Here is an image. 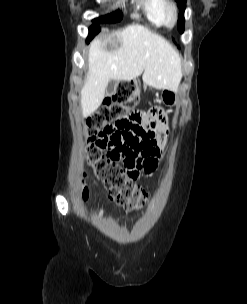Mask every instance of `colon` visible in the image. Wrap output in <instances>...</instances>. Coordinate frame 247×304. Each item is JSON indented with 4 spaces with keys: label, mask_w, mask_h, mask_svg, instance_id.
<instances>
[{
    "label": "colon",
    "mask_w": 247,
    "mask_h": 304,
    "mask_svg": "<svg viewBox=\"0 0 247 304\" xmlns=\"http://www.w3.org/2000/svg\"><path fill=\"white\" fill-rule=\"evenodd\" d=\"M136 99L132 96L129 84L120 83L114 93L108 97L101 108L87 120L86 159L90 167L102 181L109 194L122 206L129 209H140L149 200V193L136 185L135 181L125 172L121 165L108 162L102 152L100 140L106 129L113 128L114 122L125 120H158V119H127V112H135ZM147 159V163H152Z\"/></svg>",
    "instance_id": "obj_1"
}]
</instances>
